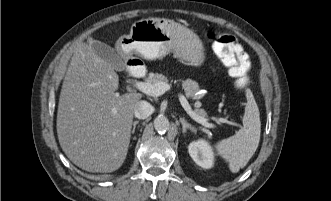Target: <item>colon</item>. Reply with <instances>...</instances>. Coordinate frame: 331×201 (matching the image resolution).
<instances>
[{
    "instance_id": "colon-1",
    "label": "colon",
    "mask_w": 331,
    "mask_h": 201,
    "mask_svg": "<svg viewBox=\"0 0 331 201\" xmlns=\"http://www.w3.org/2000/svg\"><path fill=\"white\" fill-rule=\"evenodd\" d=\"M210 39L214 43L216 54L227 67L229 75L235 80L236 86L241 90L248 89L249 59L236 38L224 33H211Z\"/></svg>"
}]
</instances>
